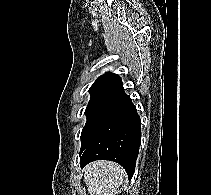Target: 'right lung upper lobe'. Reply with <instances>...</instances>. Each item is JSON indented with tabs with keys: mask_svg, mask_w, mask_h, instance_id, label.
Returning a JSON list of instances; mask_svg holds the SVG:
<instances>
[{
	"mask_svg": "<svg viewBox=\"0 0 211 195\" xmlns=\"http://www.w3.org/2000/svg\"><path fill=\"white\" fill-rule=\"evenodd\" d=\"M123 89L121 78L117 74L106 73L100 76L90 87L91 92L116 93Z\"/></svg>",
	"mask_w": 211,
	"mask_h": 195,
	"instance_id": "1",
	"label": "right lung upper lobe"
}]
</instances>
